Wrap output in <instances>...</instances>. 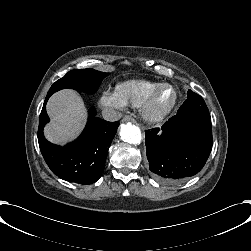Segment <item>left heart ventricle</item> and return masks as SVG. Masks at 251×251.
I'll use <instances>...</instances> for the list:
<instances>
[{
    "label": "left heart ventricle",
    "instance_id": "1",
    "mask_svg": "<svg viewBox=\"0 0 251 251\" xmlns=\"http://www.w3.org/2000/svg\"><path fill=\"white\" fill-rule=\"evenodd\" d=\"M176 100V91L171 84L162 86L154 101V108L157 110H163L170 107Z\"/></svg>",
    "mask_w": 251,
    "mask_h": 251
}]
</instances>
